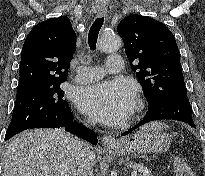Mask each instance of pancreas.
Here are the masks:
<instances>
[{
    "mask_svg": "<svg viewBox=\"0 0 205 176\" xmlns=\"http://www.w3.org/2000/svg\"><path fill=\"white\" fill-rule=\"evenodd\" d=\"M140 171L142 172L139 176H153L150 172H147V168L144 166H139Z\"/></svg>",
    "mask_w": 205,
    "mask_h": 176,
    "instance_id": "1",
    "label": "pancreas"
}]
</instances>
